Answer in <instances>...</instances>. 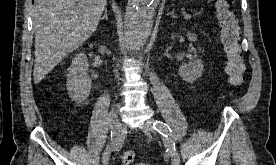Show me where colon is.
I'll list each match as a JSON object with an SVG mask.
<instances>
[{
	"mask_svg": "<svg viewBox=\"0 0 276 165\" xmlns=\"http://www.w3.org/2000/svg\"><path fill=\"white\" fill-rule=\"evenodd\" d=\"M216 8L225 71L231 85L238 87L243 83L245 72V64L239 46L238 20L225 0H219ZM120 160L123 165H131L135 161V154L132 151H125L121 154Z\"/></svg>",
	"mask_w": 276,
	"mask_h": 165,
	"instance_id": "1",
	"label": "colon"
}]
</instances>
